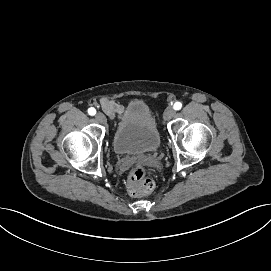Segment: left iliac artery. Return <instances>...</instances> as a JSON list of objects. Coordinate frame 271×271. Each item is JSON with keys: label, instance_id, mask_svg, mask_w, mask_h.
<instances>
[{"label": "left iliac artery", "instance_id": "44dca946", "mask_svg": "<svg viewBox=\"0 0 271 271\" xmlns=\"http://www.w3.org/2000/svg\"><path fill=\"white\" fill-rule=\"evenodd\" d=\"M181 107H182V104H181L180 102H176V103L174 104V109H175V110H179V109H181Z\"/></svg>", "mask_w": 271, "mask_h": 271}]
</instances>
